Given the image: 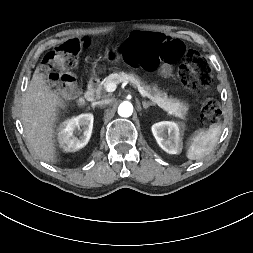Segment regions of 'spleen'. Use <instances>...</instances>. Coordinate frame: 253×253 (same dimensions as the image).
Here are the masks:
<instances>
[{
    "mask_svg": "<svg viewBox=\"0 0 253 253\" xmlns=\"http://www.w3.org/2000/svg\"><path fill=\"white\" fill-rule=\"evenodd\" d=\"M221 135V125L215 124L207 131H199L191 138L186 156L190 160H200L216 146Z\"/></svg>",
    "mask_w": 253,
    "mask_h": 253,
    "instance_id": "3e777b00",
    "label": "spleen"
}]
</instances>
